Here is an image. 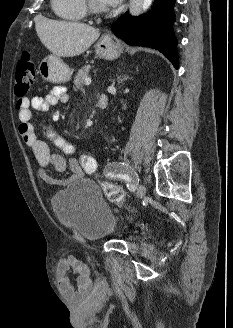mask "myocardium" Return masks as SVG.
<instances>
[{
    "mask_svg": "<svg viewBox=\"0 0 233 328\" xmlns=\"http://www.w3.org/2000/svg\"><path fill=\"white\" fill-rule=\"evenodd\" d=\"M85 3L88 10L94 14H103L106 12V9L99 5L96 0H85Z\"/></svg>",
    "mask_w": 233,
    "mask_h": 328,
    "instance_id": "myocardium-1",
    "label": "myocardium"
}]
</instances>
